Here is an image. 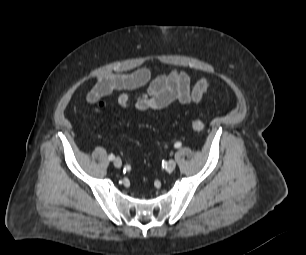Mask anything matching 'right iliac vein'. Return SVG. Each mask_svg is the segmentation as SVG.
I'll use <instances>...</instances> for the list:
<instances>
[{
  "label": "right iliac vein",
  "instance_id": "63e3f726",
  "mask_svg": "<svg viewBox=\"0 0 306 255\" xmlns=\"http://www.w3.org/2000/svg\"><path fill=\"white\" fill-rule=\"evenodd\" d=\"M113 163L116 168H121L122 166V160L119 157L114 158Z\"/></svg>",
  "mask_w": 306,
  "mask_h": 255
}]
</instances>
